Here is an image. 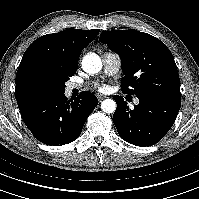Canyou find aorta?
Listing matches in <instances>:
<instances>
[{
  "label": "aorta",
  "instance_id": "aorta-1",
  "mask_svg": "<svg viewBox=\"0 0 199 199\" xmlns=\"http://www.w3.org/2000/svg\"><path fill=\"white\" fill-rule=\"evenodd\" d=\"M82 68L86 73L95 74L102 68V61L95 53H88L82 60ZM101 109L105 113H114L116 110V102L113 99H105L101 103Z\"/></svg>",
  "mask_w": 199,
  "mask_h": 199
}]
</instances>
